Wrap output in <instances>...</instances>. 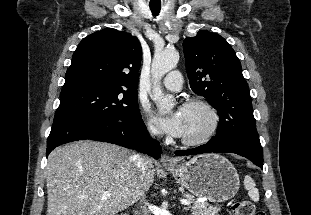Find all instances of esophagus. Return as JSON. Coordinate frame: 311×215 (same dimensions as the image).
<instances>
[{"label":"esophagus","mask_w":311,"mask_h":215,"mask_svg":"<svg viewBox=\"0 0 311 215\" xmlns=\"http://www.w3.org/2000/svg\"><path fill=\"white\" fill-rule=\"evenodd\" d=\"M161 163L165 166H173L176 162L169 155L163 154L161 157Z\"/></svg>","instance_id":"34e87169"}]
</instances>
